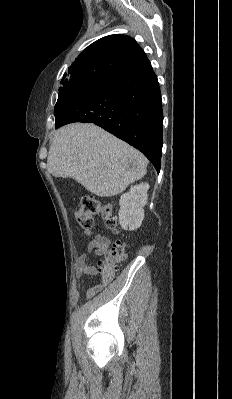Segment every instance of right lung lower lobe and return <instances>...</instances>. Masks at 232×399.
<instances>
[{
    "instance_id": "right-lung-lower-lobe-1",
    "label": "right lung lower lobe",
    "mask_w": 232,
    "mask_h": 399,
    "mask_svg": "<svg viewBox=\"0 0 232 399\" xmlns=\"http://www.w3.org/2000/svg\"><path fill=\"white\" fill-rule=\"evenodd\" d=\"M72 122H91L102 127L139 149L159 172L162 101L157 76L148 59L67 102L56 118V128Z\"/></svg>"
}]
</instances>
